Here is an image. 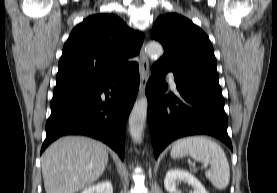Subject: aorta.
Masks as SVG:
<instances>
[{
    "instance_id": "762f6f07",
    "label": "aorta",
    "mask_w": 277,
    "mask_h": 193,
    "mask_svg": "<svg viewBox=\"0 0 277 193\" xmlns=\"http://www.w3.org/2000/svg\"><path fill=\"white\" fill-rule=\"evenodd\" d=\"M145 51L152 59H158L163 54V47L157 42H150L146 45ZM147 108V98L142 97L134 104L129 117L130 135L136 143H140L142 141L147 117Z\"/></svg>"
}]
</instances>
